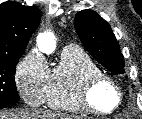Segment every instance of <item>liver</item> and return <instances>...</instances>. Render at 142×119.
<instances>
[{
    "mask_svg": "<svg viewBox=\"0 0 142 119\" xmlns=\"http://www.w3.org/2000/svg\"><path fill=\"white\" fill-rule=\"evenodd\" d=\"M0 119H68V116L43 110H26L14 114L0 113Z\"/></svg>",
    "mask_w": 142,
    "mask_h": 119,
    "instance_id": "1",
    "label": "liver"
}]
</instances>
